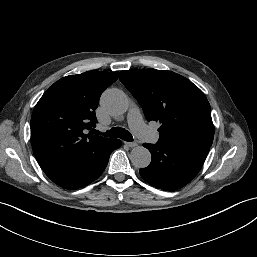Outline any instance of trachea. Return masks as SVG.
<instances>
[{
    "label": "trachea",
    "instance_id": "3493384b",
    "mask_svg": "<svg viewBox=\"0 0 257 257\" xmlns=\"http://www.w3.org/2000/svg\"><path fill=\"white\" fill-rule=\"evenodd\" d=\"M104 136L105 137H113V138H121L128 142H131L133 140L131 133L121 127L111 128L110 130H108L104 133Z\"/></svg>",
    "mask_w": 257,
    "mask_h": 257
}]
</instances>
